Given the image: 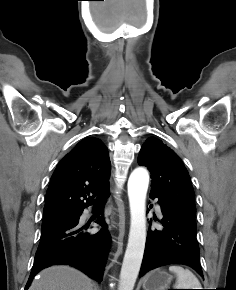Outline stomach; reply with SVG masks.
<instances>
[{
  "label": "stomach",
  "instance_id": "0dacf381",
  "mask_svg": "<svg viewBox=\"0 0 236 290\" xmlns=\"http://www.w3.org/2000/svg\"><path fill=\"white\" fill-rule=\"evenodd\" d=\"M172 278V275L162 269L151 271L143 278V288L144 290H166Z\"/></svg>",
  "mask_w": 236,
  "mask_h": 290
}]
</instances>
